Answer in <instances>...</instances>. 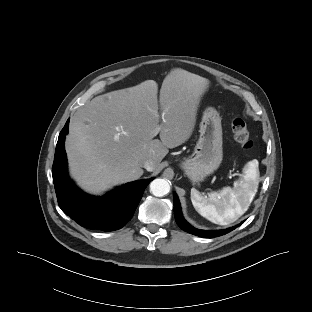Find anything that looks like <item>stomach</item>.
I'll list each match as a JSON object with an SVG mask.
<instances>
[{
	"mask_svg": "<svg viewBox=\"0 0 312 312\" xmlns=\"http://www.w3.org/2000/svg\"><path fill=\"white\" fill-rule=\"evenodd\" d=\"M200 137L193 153L180 162V168L193 183L203 181L218 169L223 158L221 117L213 107L203 112Z\"/></svg>",
	"mask_w": 312,
	"mask_h": 312,
	"instance_id": "1",
	"label": "stomach"
}]
</instances>
